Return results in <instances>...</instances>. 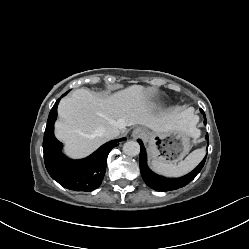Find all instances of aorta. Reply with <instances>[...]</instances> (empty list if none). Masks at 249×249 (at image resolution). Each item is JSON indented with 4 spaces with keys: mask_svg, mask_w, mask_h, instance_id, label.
<instances>
[{
    "mask_svg": "<svg viewBox=\"0 0 249 249\" xmlns=\"http://www.w3.org/2000/svg\"><path fill=\"white\" fill-rule=\"evenodd\" d=\"M123 152L128 156H136L140 152V145L136 141H128L123 145Z\"/></svg>",
    "mask_w": 249,
    "mask_h": 249,
    "instance_id": "762f6f07",
    "label": "aorta"
}]
</instances>
